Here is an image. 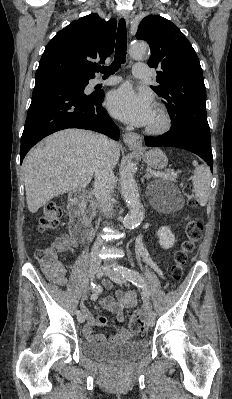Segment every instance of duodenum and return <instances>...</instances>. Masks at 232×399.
Returning <instances> with one entry per match:
<instances>
[{
  "label": "duodenum",
  "instance_id": "1",
  "mask_svg": "<svg viewBox=\"0 0 232 399\" xmlns=\"http://www.w3.org/2000/svg\"><path fill=\"white\" fill-rule=\"evenodd\" d=\"M84 198L83 191H74L69 202V232L79 242L87 241L92 232L91 223L84 214Z\"/></svg>",
  "mask_w": 232,
  "mask_h": 399
}]
</instances>
